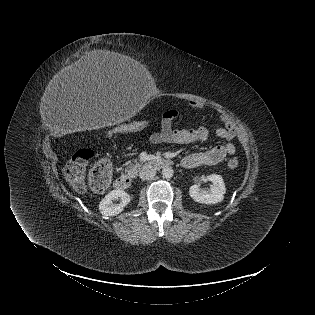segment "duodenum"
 <instances>
[{"label":"duodenum","instance_id":"duodenum-1","mask_svg":"<svg viewBox=\"0 0 315 315\" xmlns=\"http://www.w3.org/2000/svg\"><path fill=\"white\" fill-rule=\"evenodd\" d=\"M154 164L160 168H165L170 166L172 164V161L167 158H157L154 160ZM133 178L134 175L132 173H124L115 180L114 186L116 189L119 190L127 189L131 186Z\"/></svg>","mask_w":315,"mask_h":315}]
</instances>
